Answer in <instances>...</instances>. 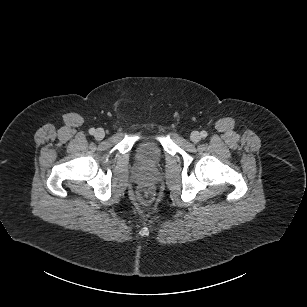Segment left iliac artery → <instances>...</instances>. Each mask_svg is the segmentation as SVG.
<instances>
[{"label": "left iliac artery", "instance_id": "left-iliac-artery-1", "mask_svg": "<svg viewBox=\"0 0 307 307\" xmlns=\"http://www.w3.org/2000/svg\"><path fill=\"white\" fill-rule=\"evenodd\" d=\"M201 136H202L203 138L207 137V132H206V131H201Z\"/></svg>", "mask_w": 307, "mask_h": 307}]
</instances>
